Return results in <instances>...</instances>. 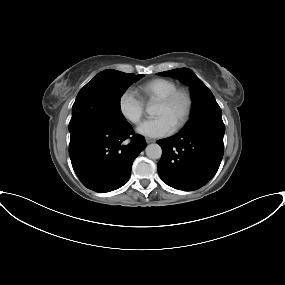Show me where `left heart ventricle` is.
<instances>
[{
    "label": "left heart ventricle",
    "mask_w": 285,
    "mask_h": 285,
    "mask_svg": "<svg viewBox=\"0 0 285 285\" xmlns=\"http://www.w3.org/2000/svg\"><path fill=\"white\" fill-rule=\"evenodd\" d=\"M186 110V100L184 97H178L171 105L163 106L157 104L154 115L156 117L163 116L167 118L173 126H175Z\"/></svg>",
    "instance_id": "left-heart-ventricle-1"
}]
</instances>
